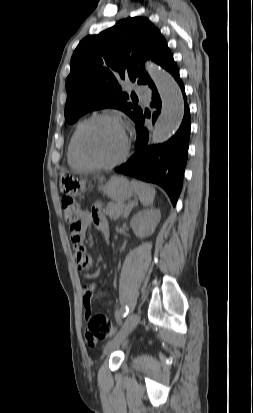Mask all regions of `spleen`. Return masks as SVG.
Masks as SVG:
<instances>
[{"label": "spleen", "mask_w": 253, "mask_h": 413, "mask_svg": "<svg viewBox=\"0 0 253 413\" xmlns=\"http://www.w3.org/2000/svg\"><path fill=\"white\" fill-rule=\"evenodd\" d=\"M131 185L144 206H150L153 204L156 195L155 188L146 183L135 180L131 181Z\"/></svg>", "instance_id": "obj_1"}]
</instances>
